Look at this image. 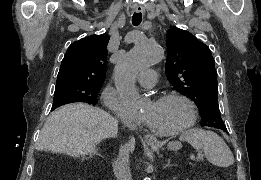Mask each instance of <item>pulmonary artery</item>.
Instances as JSON below:
<instances>
[{"instance_id": "pulmonary-artery-1", "label": "pulmonary artery", "mask_w": 261, "mask_h": 180, "mask_svg": "<svg viewBox=\"0 0 261 180\" xmlns=\"http://www.w3.org/2000/svg\"><path fill=\"white\" fill-rule=\"evenodd\" d=\"M158 77L157 72L151 68L149 65V69H144L143 73H139L137 76V80L141 83L140 89H151L153 88V84L156 82Z\"/></svg>"}]
</instances>
